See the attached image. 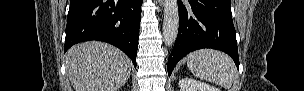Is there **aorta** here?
Segmentation results:
<instances>
[{"label": "aorta", "mask_w": 304, "mask_h": 91, "mask_svg": "<svg viewBox=\"0 0 304 91\" xmlns=\"http://www.w3.org/2000/svg\"><path fill=\"white\" fill-rule=\"evenodd\" d=\"M179 28V11L177 0H164L163 42L172 47L176 41Z\"/></svg>", "instance_id": "aorta-1"}]
</instances>
